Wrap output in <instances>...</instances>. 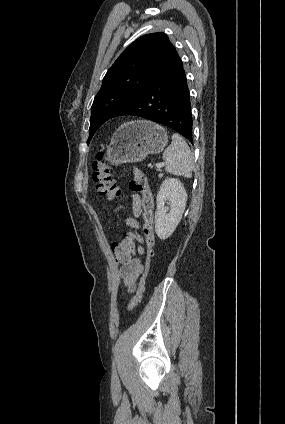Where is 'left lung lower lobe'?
<instances>
[{"instance_id":"left-lung-lower-lobe-1","label":"left lung lower lobe","mask_w":285,"mask_h":424,"mask_svg":"<svg viewBox=\"0 0 285 424\" xmlns=\"http://www.w3.org/2000/svg\"><path fill=\"white\" fill-rule=\"evenodd\" d=\"M127 115L166 125L193 141L189 89L176 51L159 76L112 118Z\"/></svg>"}]
</instances>
